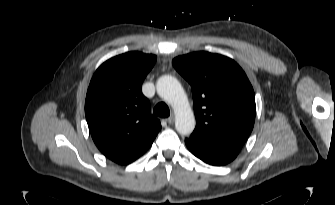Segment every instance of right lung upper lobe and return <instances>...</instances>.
I'll return each instance as SVG.
<instances>
[{
    "label": "right lung upper lobe",
    "mask_w": 335,
    "mask_h": 205,
    "mask_svg": "<svg viewBox=\"0 0 335 205\" xmlns=\"http://www.w3.org/2000/svg\"><path fill=\"white\" fill-rule=\"evenodd\" d=\"M156 56L128 52L104 62L90 82L85 115L93 141L112 161L125 165L152 145L161 129L142 83Z\"/></svg>",
    "instance_id": "right-lung-upper-lobe-1"
}]
</instances>
